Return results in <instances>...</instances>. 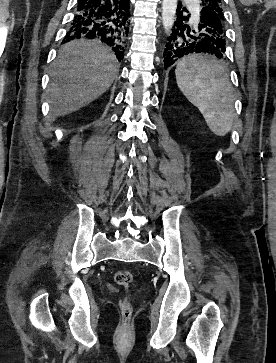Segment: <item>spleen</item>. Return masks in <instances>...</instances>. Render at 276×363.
I'll return each instance as SVG.
<instances>
[{"label": "spleen", "mask_w": 276, "mask_h": 363, "mask_svg": "<svg viewBox=\"0 0 276 363\" xmlns=\"http://www.w3.org/2000/svg\"><path fill=\"white\" fill-rule=\"evenodd\" d=\"M176 81L190 103L217 136L229 133L234 121L233 89L221 61L211 55H190L178 61Z\"/></svg>", "instance_id": "3e777b00"}]
</instances>
